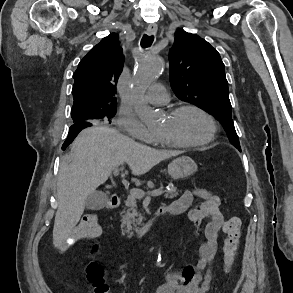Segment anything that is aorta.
<instances>
[{"instance_id":"obj_1","label":"aorta","mask_w":293,"mask_h":293,"mask_svg":"<svg viewBox=\"0 0 293 293\" xmlns=\"http://www.w3.org/2000/svg\"><path fill=\"white\" fill-rule=\"evenodd\" d=\"M163 65L161 57L151 54L145 55L139 60L137 69L131 80V91L135 97V111L140 120L146 125L155 123L156 117L152 109L142 103L139 97L160 76Z\"/></svg>"}]
</instances>
